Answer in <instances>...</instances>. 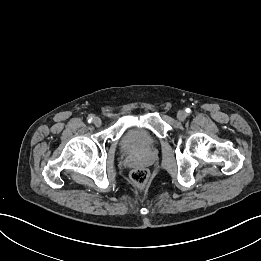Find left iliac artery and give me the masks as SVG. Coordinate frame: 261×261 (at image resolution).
Segmentation results:
<instances>
[{"mask_svg":"<svg viewBox=\"0 0 261 261\" xmlns=\"http://www.w3.org/2000/svg\"><path fill=\"white\" fill-rule=\"evenodd\" d=\"M186 112H187V113H189V112H190V109H189V108H187V109H186Z\"/></svg>","mask_w":261,"mask_h":261,"instance_id":"44dca946","label":"left iliac artery"}]
</instances>
